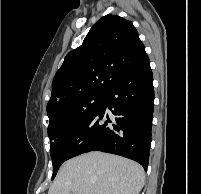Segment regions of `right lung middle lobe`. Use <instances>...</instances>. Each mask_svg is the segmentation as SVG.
<instances>
[{"label": "right lung middle lobe", "mask_w": 201, "mask_h": 194, "mask_svg": "<svg viewBox=\"0 0 201 194\" xmlns=\"http://www.w3.org/2000/svg\"><path fill=\"white\" fill-rule=\"evenodd\" d=\"M103 95L92 96L78 100L54 115H49L48 135L51 142V158L53 161V175L56 176L60 163L57 157L62 141L83 121L93 115L99 108Z\"/></svg>", "instance_id": "dd1d6c3e"}]
</instances>
